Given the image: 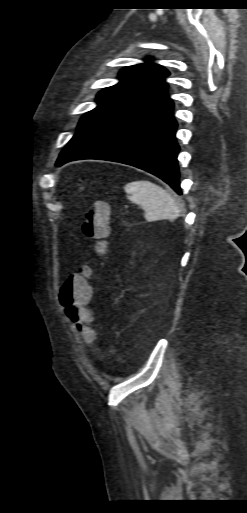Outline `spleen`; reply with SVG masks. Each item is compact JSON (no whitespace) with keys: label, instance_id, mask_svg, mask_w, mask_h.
Here are the masks:
<instances>
[{"label":"spleen","instance_id":"3e777b00","mask_svg":"<svg viewBox=\"0 0 247 513\" xmlns=\"http://www.w3.org/2000/svg\"><path fill=\"white\" fill-rule=\"evenodd\" d=\"M127 198L141 206L145 212V219L149 222L175 219L180 214V209L173 197L161 186L148 181H132L125 185Z\"/></svg>","mask_w":247,"mask_h":513}]
</instances>
